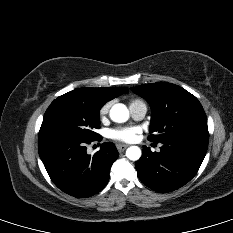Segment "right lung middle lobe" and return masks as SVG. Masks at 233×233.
I'll use <instances>...</instances> for the list:
<instances>
[{"label": "right lung middle lobe", "instance_id": "dd1d6c3e", "mask_svg": "<svg viewBox=\"0 0 233 233\" xmlns=\"http://www.w3.org/2000/svg\"><path fill=\"white\" fill-rule=\"evenodd\" d=\"M101 106L93 104L70 92L56 98L44 114L39 137L67 136L95 140L99 135Z\"/></svg>", "mask_w": 233, "mask_h": 233}]
</instances>
